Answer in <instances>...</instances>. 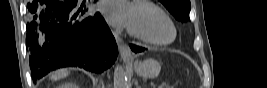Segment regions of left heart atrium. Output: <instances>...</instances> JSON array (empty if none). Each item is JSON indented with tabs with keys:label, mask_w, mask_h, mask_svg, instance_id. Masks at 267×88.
I'll return each mask as SVG.
<instances>
[{
	"label": "left heart atrium",
	"mask_w": 267,
	"mask_h": 88,
	"mask_svg": "<svg viewBox=\"0 0 267 88\" xmlns=\"http://www.w3.org/2000/svg\"><path fill=\"white\" fill-rule=\"evenodd\" d=\"M100 10L106 20L113 26L126 27L130 25L132 5L124 0H108L102 2Z\"/></svg>",
	"instance_id": "obj_1"
}]
</instances>
